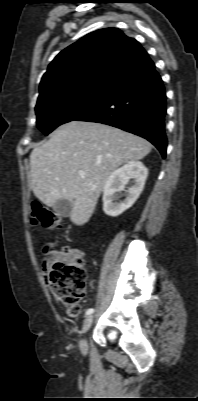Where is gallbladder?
<instances>
[{
	"label": "gallbladder",
	"instance_id": "gallbladder-1",
	"mask_svg": "<svg viewBox=\"0 0 198 401\" xmlns=\"http://www.w3.org/2000/svg\"><path fill=\"white\" fill-rule=\"evenodd\" d=\"M53 210L62 217H67L71 213L72 203L67 199L58 201L54 206Z\"/></svg>",
	"mask_w": 198,
	"mask_h": 401
}]
</instances>
